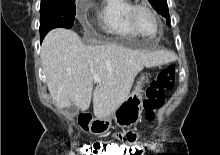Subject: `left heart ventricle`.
Segmentation results:
<instances>
[{
	"label": "left heart ventricle",
	"instance_id": "left-heart-ventricle-1",
	"mask_svg": "<svg viewBox=\"0 0 220 155\" xmlns=\"http://www.w3.org/2000/svg\"><path fill=\"white\" fill-rule=\"evenodd\" d=\"M138 29L146 36H154L157 32V23L146 10H139L135 16Z\"/></svg>",
	"mask_w": 220,
	"mask_h": 155
}]
</instances>
